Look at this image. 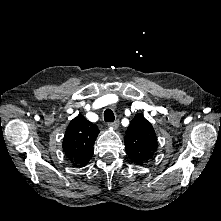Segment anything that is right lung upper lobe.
<instances>
[{"mask_svg": "<svg viewBox=\"0 0 221 221\" xmlns=\"http://www.w3.org/2000/svg\"><path fill=\"white\" fill-rule=\"evenodd\" d=\"M98 127L83 115L75 117L68 125L63 139V150L74 167H84L94 153Z\"/></svg>", "mask_w": 221, "mask_h": 221, "instance_id": "obj_1", "label": "right lung upper lobe"}]
</instances>
